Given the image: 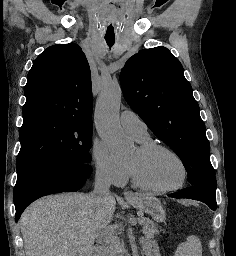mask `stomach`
<instances>
[{
	"instance_id": "1",
	"label": "stomach",
	"mask_w": 236,
	"mask_h": 256,
	"mask_svg": "<svg viewBox=\"0 0 236 256\" xmlns=\"http://www.w3.org/2000/svg\"><path fill=\"white\" fill-rule=\"evenodd\" d=\"M129 202L137 209L149 214L155 221H163L165 218V211L157 198L143 196L138 200Z\"/></svg>"
}]
</instances>
